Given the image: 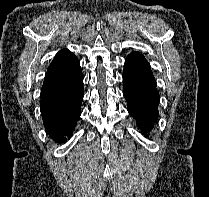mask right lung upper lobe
Returning <instances> with one entry per match:
<instances>
[{
    "label": "right lung upper lobe",
    "mask_w": 209,
    "mask_h": 197,
    "mask_svg": "<svg viewBox=\"0 0 209 197\" xmlns=\"http://www.w3.org/2000/svg\"><path fill=\"white\" fill-rule=\"evenodd\" d=\"M70 52L67 49H63L61 51H59L55 58L53 59L52 63L50 64L49 67H51L52 65L56 64L57 62H59L60 60H62L63 58H65Z\"/></svg>",
    "instance_id": "right-lung-upper-lobe-1"
}]
</instances>
